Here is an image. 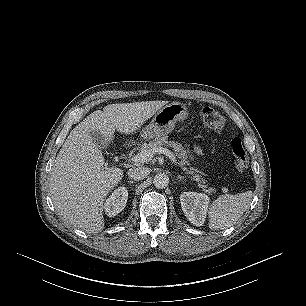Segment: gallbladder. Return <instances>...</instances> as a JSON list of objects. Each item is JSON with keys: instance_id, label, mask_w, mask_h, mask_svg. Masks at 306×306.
Returning a JSON list of instances; mask_svg holds the SVG:
<instances>
[{"instance_id": "gallbladder-1", "label": "gallbladder", "mask_w": 306, "mask_h": 306, "mask_svg": "<svg viewBox=\"0 0 306 306\" xmlns=\"http://www.w3.org/2000/svg\"><path fill=\"white\" fill-rule=\"evenodd\" d=\"M91 135L93 137V142L95 145L100 148V147H105L107 145L103 135L97 131L91 132Z\"/></svg>"}]
</instances>
